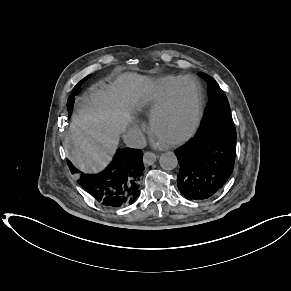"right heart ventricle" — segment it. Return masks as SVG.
Segmentation results:
<instances>
[{
  "mask_svg": "<svg viewBox=\"0 0 291 291\" xmlns=\"http://www.w3.org/2000/svg\"><path fill=\"white\" fill-rule=\"evenodd\" d=\"M180 78L179 76H168L160 78L151 84L146 91L139 111L144 115L151 116L161 105L171 87L177 83Z\"/></svg>",
  "mask_w": 291,
  "mask_h": 291,
  "instance_id": "obj_1",
  "label": "right heart ventricle"
}]
</instances>
